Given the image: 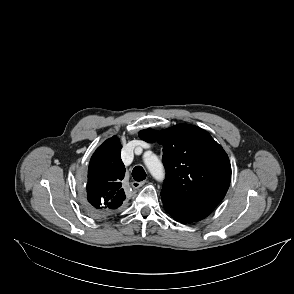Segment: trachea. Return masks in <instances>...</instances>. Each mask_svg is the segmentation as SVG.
<instances>
[{"label":"trachea","mask_w":294,"mask_h":294,"mask_svg":"<svg viewBox=\"0 0 294 294\" xmlns=\"http://www.w3.org/2000/svg\"><path fill=\"white\" fill-rule=\"evenodd\" d=\"M132 176L135 181H143L146 178V172L141 166H136L132 171Z\"/></svg>","instance_id":"3493384b"}]
</instances>
